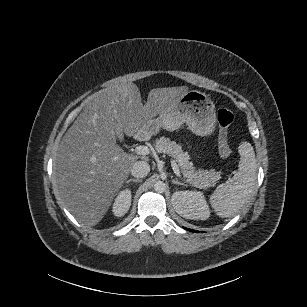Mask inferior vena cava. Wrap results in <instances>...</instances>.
Returning <instances> with one entry per match:
<instances>
[{
  "label": "inferior vena cava",
  "instance_id": "obj_1",
  "mask_svg": "<svg viewBox=\"0 0 307 307\" xmlns=\"http://www.w3.org/2000/svg\"><path fill=\"white\" fill-rule=\"evenodd\" d=\"M150 172V166L145 161H137L133 164L131 173L136 178H143Z\"/></svg>",
  "mask_w": 307,
  "mask_h": 307
}]
</instances>
